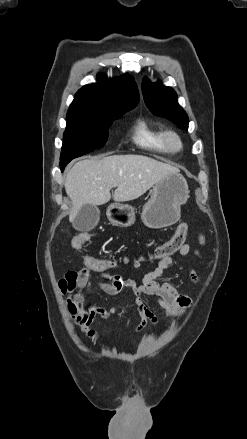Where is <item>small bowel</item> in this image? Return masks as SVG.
Here are the masks:
<instances>
[{
  "label": "small bowel",
  "mask_w": 247,
  "mask_h": 439,
  "mask_svg": "<svg viewBox=\"0 0 247 439\" xmlns=\"http://www.w3.org/2000/svg\"><path fill=\"white\" fill-rule=\"evenodd\" d=\"M199 241L200 244H204V237L200 236ZM190 253L201 257L200 250L190 244H184L179 250L181 256ZM172 262L171 257L159 260L156 268L145 274L141 283H137L133 279L123 278L118 274H109L106 271L100 272L104 280L97 281L96 286L108 295H118L124 291L133 294L135 298L133 316L138 315L140 318L135 332L140 333L148 323L153 327H156L158 323L156 315L146 305L144 298L154 300L165 310L166 318L169 320L182 316L192 304L190 297L180 294L170 283L158 281V278L170 268ZM190 279L193 282L198 281V275L195 271L190 272ZM91 285L92 271L85 268L80 271L67 272L59 281V290L63 295H67L64 303L71 321L79 326L90 338L99 339V334L92 327L94 319L97 316L109 318L117 313L123 304L110 309L95 304H87L82 290H89Z\"/></svg>",
  "instance_id": "c3829d8e"
}]
</instances>
